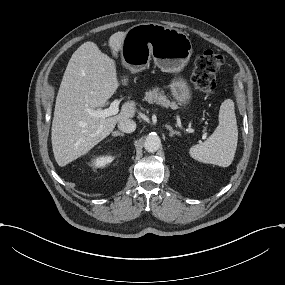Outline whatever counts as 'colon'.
Segmentation results:
<instances>
[{
  "instance_id": "obj_1",
  "label": "colon",
  "mask_w": 285,
  "mask_h": 285,
  "mask_svg": "<svg viewBox=\"0 0 285 285\" xmlns=\"http://www.w3.org/2000/svg\"><path fill=\"white\" fill-rule=\"evenodd\" d=\"M223 63V56L212 50L204 51L196 59L192 82L199 92L210 95L215 91L216 73Z\"/></svg>"
}]
</instances>
